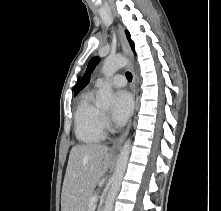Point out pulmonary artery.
<instances>
[{"label":"pulmonary artery","mask_w":221,"mask_h":211,"mask_svg":"<svg viewBox=\"0 0 221 211\" xmlns=\"http://www.w3.org/2000/svg\"><path fill=\"white\" fill-rule=\"evenodd\" d=\"M103 83V78H98L95 82L97 86L102 85ZM111 84L115 87H123L126 84V79L122 75H115L111 78Z\"/></svg>","instance_id":"obj_1"}]
</instances>
